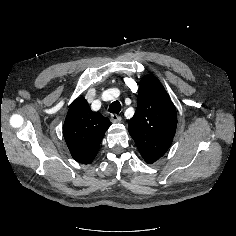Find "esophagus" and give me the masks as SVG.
Wrapping results in <instances>:
<instances>
[{
  "instance_id": "34e87169",
  "label": "esophagus",
  "mask_w": 236,
  "mask_h": 236,
  "mask_svg": "<svg viewBox=\"0 0 236 236\" xmlns=\"http://www.w3.org/2000/svg\"><path fill=\"white\" fill-rule=\"evenodd\" d=\"M110 118L113 123H117L121 121V117L117 114H111Z\"/></svg>"
}]
</instances>
